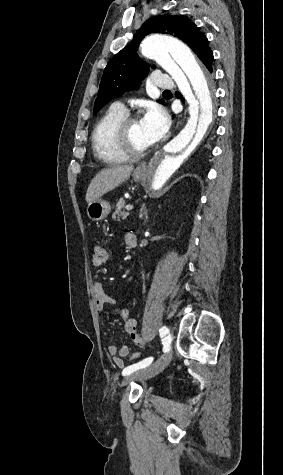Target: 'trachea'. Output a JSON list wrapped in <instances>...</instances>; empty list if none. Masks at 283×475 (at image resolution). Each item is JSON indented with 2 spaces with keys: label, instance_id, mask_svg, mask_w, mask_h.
Returning a JSON list of instances; mask_svg holds the SVG:
<instances>
[{
  "label": "trachea",
  "instance_id": "1",
  "mask_svg": "<svg viewBox=\"0 0 283 475\" xmlns=\"http://www.w3.org/2000/svg\"><path fill=\"white\" fill-rule=\"evenodd\" d=\"M163 94L172 95L171 92H170V90H165V91L163 92Z\"/></svg>",
  "mask_w": 283,
  "mask_h": 475
}]
</instances>
